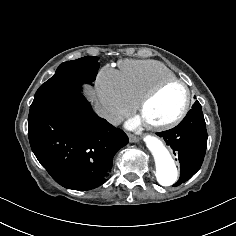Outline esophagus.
Returning a JSON list of instances; mask_svg holds the SVG:
<instances>
[{"label": "esophagus", "instance_id": "obj_1", "mask_svg": "<svg viewBox=\"0 0 236 236\" xmlns=\"http://www.w3.org/2000/svg\"><path fill=\"white\" fill-rule=\"evenodd\" d=\"M129 141L131 143H137L138 142V138L132 134L129 135Z\"/></svg>", "mask_w": 236, "mask_h": 236}]
</instances>
